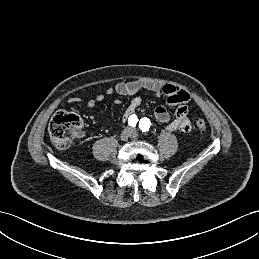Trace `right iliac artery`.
I'll list each match as a JSON object with an SVG mask.
<instances>
[{
    "label": "right iliac artery",
    "instance_id": "82829eb1",
    "mask_svg": "<svg viewBox=\"0 0 259 259\" xmlns=\"http://www.w3.org/2000/svg\"><path fill=\"white\" fill-rule=\"evenodd\" d=\"M138 122V118L135 114L131 115L129 118H128V124L129 126L131 127H135L136 124Z\"/></svg>",
    "mask_w": 259,
    "mask_h": 259
}]
</instances>
